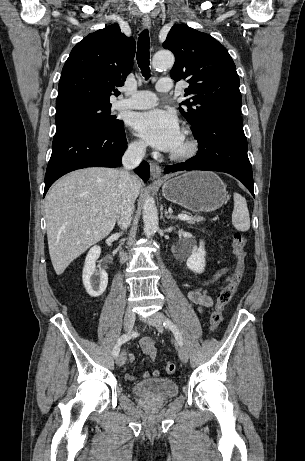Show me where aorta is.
<instances>
[{"label": "aorta", "mask_w": 305, "mask_h": 461, "mask_svg": "<svg viewBox=\"0 0 305 461\" xmlns=\"http://www.w3.org/2000/svg\"><path fill=\"white\" fill-rule=\"evenodd\" d=\"M174 60L171 52L160 51L154 55L152 65L155 69H167L173 66ZM143 222L146 237L153 236L158 229V212L154 199L148 194L143 204Z\"/></svg>", "instance_id": "obj_1"}]
</instances>
